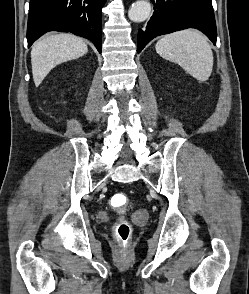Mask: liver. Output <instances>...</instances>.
<instances>
[{
    "mask_svg": "<svg viewBox=\"0 0 249 294\" xmlns=\"http://www.w3.org/2000/svg\"><path fill=\"white\" fill-rule=\"evenodd\" d=\"M88 51L84 41L72 34L60 33L37 41L31 50L32 74L38 87L57 65L77 59Z\"/></svg>",
    "mask_w": 249,
    "mask_h": 294,
    "instance_id": "1",
    "label": "liver"
}]
</instances>
